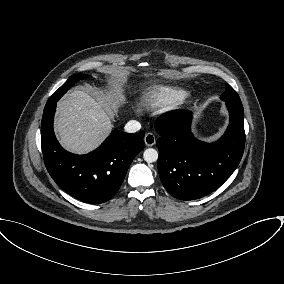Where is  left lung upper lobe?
<instances>
[{"label":"left lung upper lobe","mask_w":284,"mask_h":284,"mask_svg":"<svg viewBox=\"0 0 284 284\" xmlns=\"http://www.w3.org/2000/svg\"><path fill=\"white\" fill-rule=\"evenodd\" d=\"M221 99L225 102H230V103L242 105L238 94L229 84H226V90L221 95Z\"/></svg>","instance_id":"1"}]
</instances>
